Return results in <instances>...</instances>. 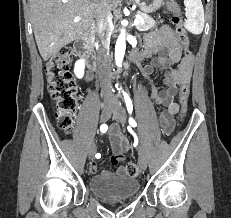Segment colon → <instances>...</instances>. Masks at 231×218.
Wrapping results in <instances>:
<instances>
[{
    "mask_svg": "<svg viewBox=\"0 0 231 218\" xmlns=\"http://www.w3.org/2000/svg\"><path fill=\"white\" fill-rule=\"evenodd\" d=\"M168 7L173 14L172 23L175 26L176 36L187 47L189 38L180 9L173 0L169 1ZM72 54L73 51L70 47H63L48 59L45 66L48 91L56 104L58 124L66 132H70L72 129L74 114L78 106L77 87L70 71ZM189 95L190 85L184 83L179 91L181 118L187 113ZM125 168L130 177H136L140 173V168L136 163H127Z\"/></svg>",
    "mask_w": 231,
    "mask_h": 218,
    "instance_id": "obj_1",
    "label": "colon"
}]
</instances>
